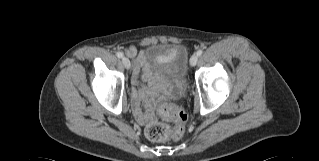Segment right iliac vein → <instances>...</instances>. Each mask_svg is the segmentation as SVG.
Masks as SVG:
<instances>
[{
	"label": "right iliac vein",
	"instance_id": "obj_1",
	"mask_svg": "<svg viewBox=\"0 0 319 161\" xmlns=\"http://www.w3.org/2000/svg\"><path fill=\"white\" fill-rule=\"evenodd\" d=\"M122 63L126 69H129L131 67V62L127 57L122 58Z\"/></svg>",
	"mask_w": 319,
	"mask_h": 161
}]
</instances>
